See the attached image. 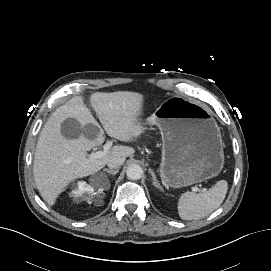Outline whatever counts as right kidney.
<instances>
[{
	"instance_id": "right-kidney-1",
	"label": "right kidney",
	"mask_w": 271,
	"mask_h": 271,
	"mask_svg": "<svg viewBox=\"0 0 271 271\" xmlns=\"http://www.w3.org/2000/svg\"><path fill=\"white\" fill-rule=\"evenodd\" d=\"M104 188L98 184H87L84 181L78 182L73 191L72 195L75 198L86 197L88 200H92V198L100 193H102Z\"/></svg>"
}]
</instances>
